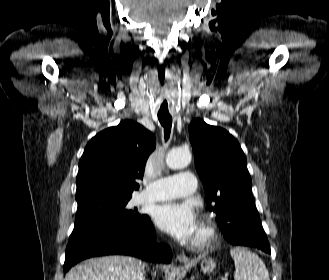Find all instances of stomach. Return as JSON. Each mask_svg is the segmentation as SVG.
Here are the masks:
<instances>
[{"label":"stomach","instance_id":"obj_1","mask_svg":"<svg viewBox=\"0 0 329 280\" xmlns=\"http://www.w3.org/2000/svg\"><path fill=\"white\" fill-rule=\"evenodd\" d=\"M201 271L205 274H209L211 272H213L216 268V262L211 259V258H208V259H203L201 261Z\"/></svg>","mask_w":329,"mask_h":280}]
</instances>
